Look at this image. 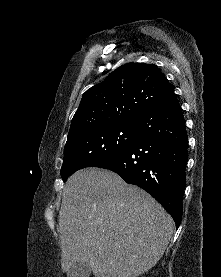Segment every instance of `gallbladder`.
I'll return each instance as SVG.
<instances>
[{"label": "gallbladder", "instance_id": "1", "mask_svg": "<svg viewBox=\"0 0 221 277\" xmlns=\"http://www.w3.org/2000/svg\"><path fill=\"white\" fill-rule=\"evenodd\" d=\"M91 267L86 262H76L67 271V277H90Z\"/></svg>", "mask_w": 221, "mask_h": 277}]
</instances>
